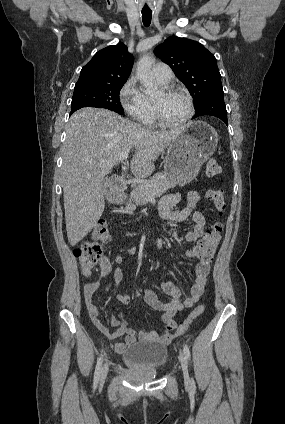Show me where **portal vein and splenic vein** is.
<instances>
[{"mask_svg": "<svg viewBox=\"0 0 285 424\" xmlns=\"http://www.w3.org/2000/svg\"><path fill=\"white\" fill-rule=\"evenodd\" d=\"M127 157H128V153H123L120 157V161L127 159Z\"/></svg>", "mask_w": 285, "mask_h": 424, "instance_id": "obj_1", "label": "portal vein and splenic vein"}]
</instances>
